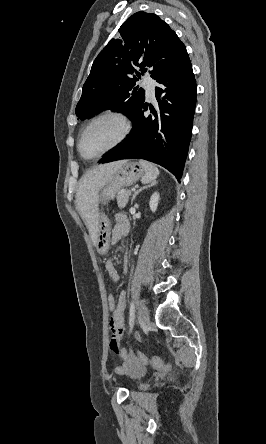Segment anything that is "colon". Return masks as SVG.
Instances as JSON below:
<instances>
[{
    "label": "colon",
    "instance_id": "colon-1",
    "mask_svg": "<svg viewBox=\"0 0 266 444\" xmlns=\"http://www.w3.org/2000/svg\"><path fill=\"white\" fill-rule=\"evenodd\" d=\"M116 305L117 302L113 294H108L107 308L113 312L116 308ZM124 357H126L130 361V370L136 372H141L147 365H150L158 370H167L169 368V363L165 359L160 357H149L141 352H124Z\"/></svg>",
    "mask_w": 266,
    "mask_h": 444
}]
</instances>
